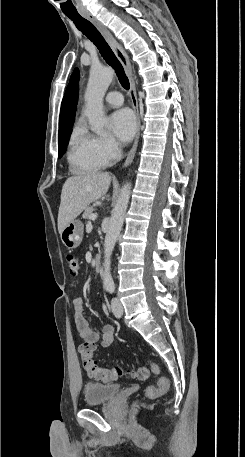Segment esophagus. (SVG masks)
<instances>
[{
  "mask_svg": "<svg viewBox=\"0 0 245 457\" xmlns=\"http://www.w3.org/2000/svg\"><path fill=\"white\" fill-rule=\"evenodd\" d=\"M80 15H82V17L86 18L87 20H89L91 23H93V25H95L96 28H98L99 32L102 33L103 37L105 38L106 42L108 43V45H110V48L112 49L113 53L115 54V56L117 57V59L119 60V62L121 63V65L123 66L125 72H126V75L129 79V82H130V90H129V95H130V98L132 100V106H133V109H134V113L136 115V120H137V128H136V136H135V140H134V143H133V146L124 162V165L123 167H127L128 165H130L134 159V156H135V153H136V149H137V145H138V141H139V137H140V116H139V109H138V100H137V95H136V87H135V82H134V79H133V76H132V72H131V65H130V61H129V58H128V55L125 53V51L122 49V47L115 41V39L113 38V36L111 35V33L109 32V30L101 23L99 22V20H97L96 17H94L91 13L87 12V13H80Z\"/></svg>",
  "mask_w": 245,
  "mask_h": 457,
  "instance_id": "esophagus-1",
  "label": "esophagus"
}]
</instances>
